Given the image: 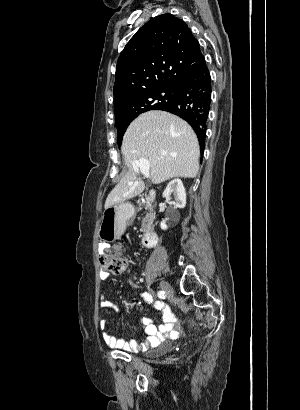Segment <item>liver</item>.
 <instances>
[{"label":"liver","mask_w":300,"mask_h":410,"mask_svg":"<svg viewBox=\"0 0 300 410\" xmlns=\"http://www.w3.org/2000/svg\"><path fill=\"white\" fill-rule=\"evenodd\" d=\"M127 173L107 196L105 209L139 195L144 183L133 163L149 161L153 184L174 177L194 178L199 169L200 148L191 126L165 111H149L138 116L127 128L121 146Z\"/></svg>","instance_id":"1"}]
</instances>
